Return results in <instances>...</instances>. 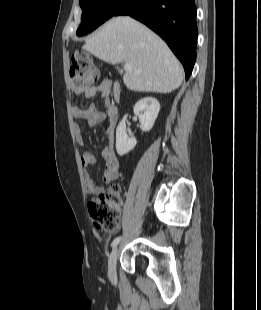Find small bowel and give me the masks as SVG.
<instances>
[{
    "instance_id": "c3829d8e",
    "label": "small bowel",
    "mask_w": 261,
    "mask_h": 310,
    "mask_svg": "<svg viewBox=\"0 0 261 310\" xmlns=\"http://www.w3.org/2000/svg\"><path fill=\"white\" fill-rule=\"evenodd\" d=\"M75 94H84L87 98H93L97 95H100L103 99L104 105L106 107L105 112H101L97 109L95 105H90L86 109H82L79 107L72 108V115L75 119H86L88 123L92 126L101 123L106 116L109 119V124L106 129V138L107 145L101 152V158L104 161L105 169L102 176V179L105 183H110L116 180L119 176V160L116 156L114 150V131H115V123L111 120V115L115 110L109 101V92H110V84L108 80H102L96 86H86V87H77L74 86L72 88ZM74 133L76 140L82 144L83 143V134L79 125H74ZM97 158L91 152H85L81 156V164L83 167V176L85 180V185L87 192L90 194H100L103 189L100 186H97L93 179L90 177L89 168L96 164Z\"/></svg>"
}]
</instances>
